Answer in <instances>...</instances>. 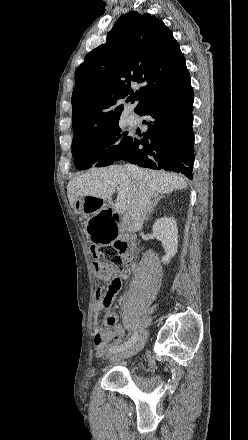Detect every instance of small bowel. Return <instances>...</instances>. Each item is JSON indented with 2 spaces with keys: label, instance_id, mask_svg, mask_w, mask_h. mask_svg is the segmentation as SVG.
<instances>
[{
  "label": "small bowel",
  "instance_id": "obj_1",
  "mask_svg": "<svg viewBox=\"0 0 248 440\" xmlns=\"http://www.w3.org/2000/svg\"><path fill=\"white\" fill-rule=\"evenodd\" d=\"M118 270L119 271L114 272L115 276H121L122 272H124V267H119ZM116 280L119 282V285H121L120 278L116 277ZM119 288L115 291V294L117 293ZM102 310H106L105 323L107 328H101L96 320L93 323L95 353L98 357H103L109 349L118 346L121 343L123 337V329L118 324L116 315L112 311L108 310V307H104L98 301H96L93 307L94 317L97 318Z\"/></svg>",
  "mask_w": 248,
  "mask_h": 440
}]
</instances>
